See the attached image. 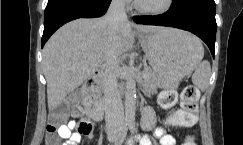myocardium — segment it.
Segmentation results:
<instances>
[{"label":"myocardium","instance_id":"1","mask_svg":"<svg viewBox=\"0 0 243 145\" xmlns=\"http://www.w3.org/2000/svg\"><path fill=\"white\" fill-rule=\"evenodd\" d=\"M173 4L174 0H167L165 5L159 9H148L143 7L138 0H135V7L139 12L152 16H160L168 13L172 9Z\"/></svg>","mask_w":243,"mask_h":145}]
</instances>
